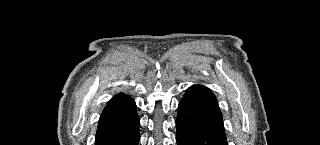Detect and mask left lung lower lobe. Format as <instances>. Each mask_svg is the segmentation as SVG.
<instances>
[{
    "label": "left lung lower lobe",
    "mask_w": 320,
    "mask_h": 145,
    "mask_svg": "<svg viewBox=\"0 0 320 145\" xmlns=\"http://www.w3.org/2000/svg\"><path fill=\"white\" fill-rule=\"evenodd\" d=\"M177 145H227L222 114L209 88L192 85L178 106Z\"/></svg>",
    "instance_id": "left-lung-lower-lobe-1"
}]
</instances>
